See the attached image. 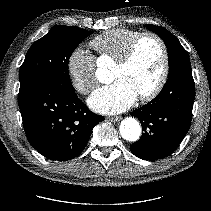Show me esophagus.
I'll use <instances>...</instances> for the list:
<instances>
[{"label":"esophagus","instance_id":"obj_1","mask_svg":"<svg viewBox=\"0 0 211 211\" xmlns=\"http://www.w3.org/2000/svg\"><path fill=\"white\" fill-rule=\"evenodd\" d=\"M122 119L121 116H114V117H108V120L111 122H118Z\"/></svg>","mask_w":211,"mask_h":211}]
</instances>
